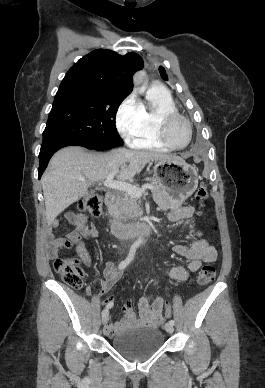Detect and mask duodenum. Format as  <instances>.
<instances>
[{
  "instance_id": "1",
  "label": "duodenum",
  "mask_w": 265,
  "mask_h": 388,
  "mask_svg": "<svg viewBox=\"0 0 265 388\" xmlns=\"http://www.w3.org/2000/svg\"><path fill=\"white\" fill-rule=\"evenodd\" d=\"M117 195L114 192L106 194L105 203L109 209L115 206ZM111 233L120 238L139 237L150 235L155 231V226L151 222L136 221L132 223H123L116 218L110 219Z\"/></svg>"
}]
</instances>
